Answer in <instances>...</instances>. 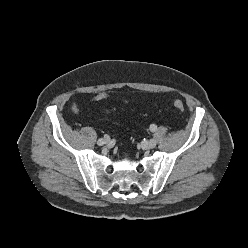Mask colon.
Returning a JSON list of instances; mask_svg holds the SVG:
<instances>
[{
    "label": "colon",
    "instance_id": "1",
    "mask_svg": "<svg viewBox=\"0 0 248 248\" xmlns=\"http://www.w3.org/2000/svg\"><path fill=\"white\" fill-rule=\"evenodd\" d=\"M173 105L179 111H181V112L184 111L185 106H184V103L181 100H179V99L174 100Z\"/></svg>",
    "mask_w": 248,
    "mask_h": 248
}]
</instances>
